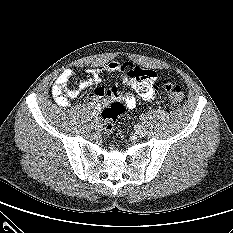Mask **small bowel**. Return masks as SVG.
<instances>
[{"instance_id":"1","label":"small bowel","mask_w":233,"mask_h":233,"mask_svg":"<svg viewBox=\"0 0 233 233\" xmlns=\"http://www.w3.org/2000/svg\"><path fill=\"white\" fill-rule=\"evenodd\" d=\"M134 66L135 65L131 62L114 61L97 69H89L87 71L89 73V78L81 81L78 87L74 89L67 87V84L73 77L74 73L71 69H65L56 78L52 86V96L58 105L63 107L68 106L70 99L77 97L80 91L98 84L101 81V75L103 73H120L123 75L124 82L134 91L133 94H126L123 97V101L128 108H134L139 100H151L157 93V80L155 72L149 70L152 74L150 81L135 83L128 77L129 70ZM118 94L119 90L116 86H113L109 90H105L102 87H97L86 99V103L87 105L98 110L104 105L108 97L117 96Z\"/></svg>"}]
</instances>
